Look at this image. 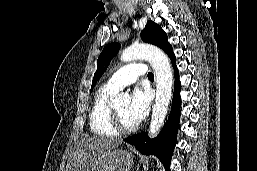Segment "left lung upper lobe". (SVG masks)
I'll use <instances>...</instances> for the list:
<instances>
[{
    "label": "left lung upper lobe",
    "instance_id": "5c2ea615",
    "mask_svg": "<svg viewBox=\"0 0 257 171\" xmlns=\"http://www.w3.org/2000/svg\"><path fill=\"white\" fill-rule=\"evenodd\" d=\"M141 38L144 42L150 43L160 47L168 55L173 52L172 46L168 42L167 34L163 29L153 21H148L144 30L141 33ZM120 48V44L111 43L104 47L97 60V70L94 74L91 90L95 86L96 82L100 79L103 73L106 71L110 61L116 55Z\"/></svg>",
    "mask_w": 257,
    "mask_h": 171
}]
</instances>
